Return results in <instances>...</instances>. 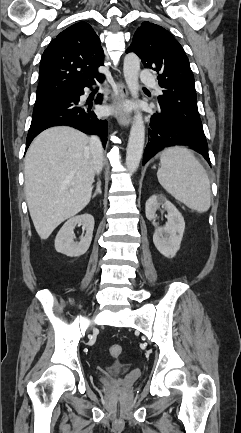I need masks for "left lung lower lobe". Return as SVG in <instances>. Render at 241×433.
Returning <instances> with one entry per match:
<instances>
[{"label":"left lung lower lobe","mask_w":241,"mask_h":433,"mask_svg":"<svg viewBox=\"0 0 241 433\" xmlns=\"http://www.w3.org/2000/svg\"><path fill=\"white\" fill-rule=\"evenodd\" d=\"M174 145L189 146L202 154L211 165L206 138L189 129L168 111L158 108L150 119L143 164L161 149Z\"/></svg>","instance_id":"left-lung-lower-lobe-1"}]
</instances>
